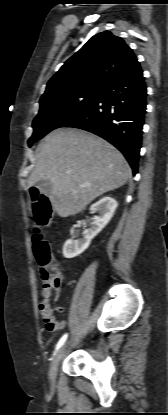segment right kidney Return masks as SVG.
I'll use <instances>...</instances> for the list:
<instances>
[{
  "mask_svg": "<svg viewBox=\"0 0 168 415\" xmlns=\"http://www.w3.org/2000/svg\"><path fill=\"white\" fill-rule=\"evenodd\" d=\"M118 206L116 200L104 197L90 207V213H99L90 227L83 232V238L78 240L69 239L63 246V256L73 258L83 253L90 245L91 240L108 224Z\"/></svg>",
  "mask_w": 168,
  "mask_h": 415,
  "instance_id": "ca27d5eb",
  "label": "right kidney"
}]
</instances>
